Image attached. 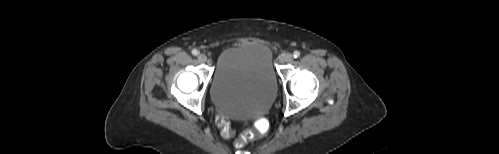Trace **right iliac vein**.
Wrapping results in <instances>:
<instances>
[{"instance_id": "63e3f726", "label": "right iliac vein", "mask_w": 499, "mask_h": 154, "mask_svg": "<svg viewBox=\"0 0 499 154\" xmlns=\"http://www.w3.org/2000/svg\"><path fill=\"white\" fill-rule=\"evenodd\" d=\"M198 60L202 63H205L207 61V56L203 53L198 55Z\"/></svg>"}]
</instances>
